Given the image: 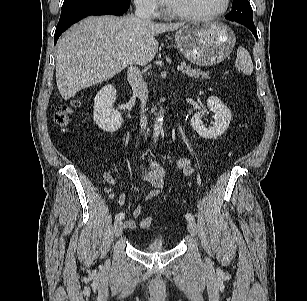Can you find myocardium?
<instances>
[{"label": "myocardium", "instance_id": "obj_1", "mask_svg": "<svg viewBox=\"0 0 307 301\" xmlns=\"http://www.w3.org/2000/svg\"><path fill=\"white\" fill-rule=\"evenodd\" d=\"M231 0H224L223 6L212 13H204V14H187L182 13L176 10H173L168 7V15L174 18H178L185 21H206L216 19L222 15H224L230 8Z\"/></svg>", "mask_w": 307, "mask_h": 301}]
</instances>
